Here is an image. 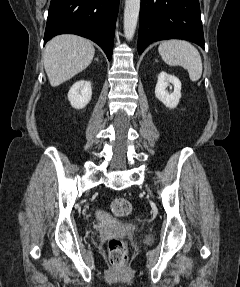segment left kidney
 <instances>
[{"instance_id":"left-kidney-1","label":"left kidney","mask_w":240,"mask_h":287,"mask_svg":"<svg viewBox=\"0 0 240 287\" xmlns=\"http://www.w3.org/2000/svg\"><path fill=\"white\" fill-rule=\"evenodd\" d=\"M172 84L173 92L169 93L166 89ZM155 96L161 101L166 107L173 109L175 108L181 98V82L180 80L169 75L165 71L160 72L158 75V81L155 87Z\"/></svg>"}]
</instances>
